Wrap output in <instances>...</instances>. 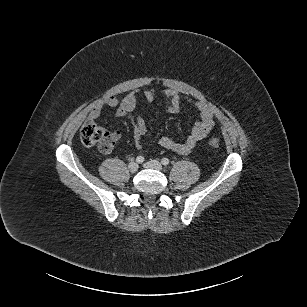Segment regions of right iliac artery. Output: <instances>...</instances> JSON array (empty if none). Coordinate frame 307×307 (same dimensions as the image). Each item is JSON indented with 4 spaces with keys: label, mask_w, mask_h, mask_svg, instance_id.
Segmentation results:
<instances>
[{
    "label": "right iliac artery",
    "mask_w": 307,
    "mask_h": 307,
    "mask_svg": "<svg viewBox=\"0 0 307 307\" xmlns=\"http://www.w3.org/2000/svg\"><path fill=\"white\" fill-rule=\"evenodd\" d=\"M136 162L137 163H143L144 162V157L143 156H138L137 158H136Z\"/></svg>",
    "instance_id": "right-iliac-artery-1"
}]
</instances>
